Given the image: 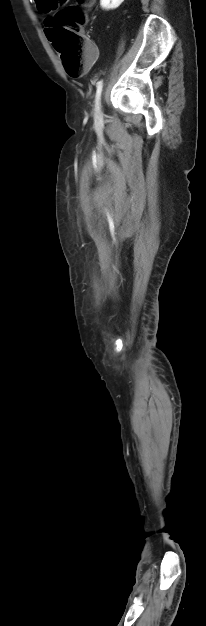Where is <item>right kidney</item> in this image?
<instances>
[{
    "instance_id": "obj_1",
    "label": "right kidney",
    "mask_w": 206,
    "mask_h": 626,
    "mask_svg": "<svg viewBox=\"0 0 206 626\" xmlns=\"http://www.w3.org/2000/svg\"><path fill=\"white\" fill-rule=\"evenodd\" d=\"M123 1L124 0H100V5L103 10L109 11L118 8Z\"/></svg>"
}]
</instances>
